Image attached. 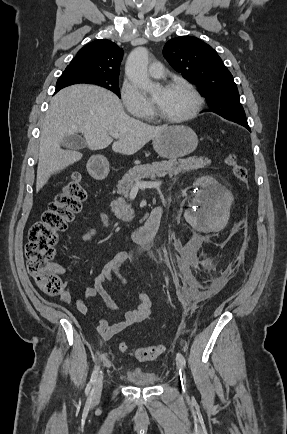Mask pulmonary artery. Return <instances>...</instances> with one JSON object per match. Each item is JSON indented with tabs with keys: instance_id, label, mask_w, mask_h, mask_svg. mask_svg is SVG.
<instances>
[{
	"instance_id": "1",
	"label": "pulmonary artery",
	"mask_w": 287,
	"mask_h": 434,
	"mask_svg": "<svg viewBox=\"0 0 287 434\" xmlns=\"http://www.w3.org/2000/svg\"><path fill=\"white\" fill-rule=\"evenodd\" d=\"M149 75L153 78H162L164 76V68L160 62H153L148 69Z\"/></svg>"
}]
</instances>
